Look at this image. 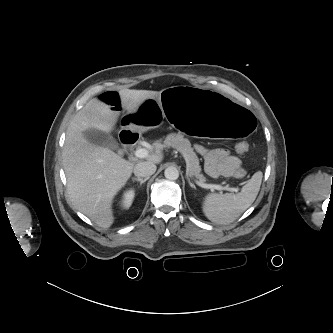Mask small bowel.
<instances>
[{"mask_svg":"<svg viewBox=\"0 0 333 333\" xmlns=\"http://www.w3.org/2000/svg\"><path fill=\"white\" fill-rule=\"evenodd\" d=\"M99 101L114 111L122 109V100L116 91L104 92L99 96ZM197 149L205 159L206 171L213 177L229 176L240 166V160L225 149L209 150L203 146H198Z\"/></svg>","mask_w":333,"mask_h":333,"instance_id":"small-bowel-1","label":"small bowel"}]
</instances>
